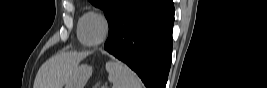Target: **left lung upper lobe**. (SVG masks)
<instances>
[{"mask_svg": "<svg viewBox=\"0 0 267 88\" xmlns=\"http://www.w3.org/2000/svg\"><path fill=\"white\" fill-rule=\"evenodd\" d=\"M93 5L104 10L109 28L133 0H89Z\"/></svg>", "mask_w": 267, "mask_h": 88, "instance_id": "left-lung-upper-lobe-1", "label": "left lung upper lobe"}]
</instances>
